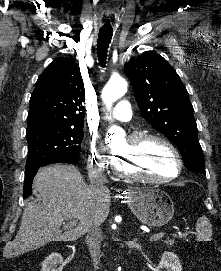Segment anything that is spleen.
Segmentation results:
<instances>
[{"label":"spleen","instance_id":"obj_1","mask_svg":"<svg viewBox=\"0 0 221 271\" xmlns=\"http://www.w3.org/2000/svg\"><path fill=\"white\" fill-rule=\"evenodd\" d=\"M197 241H211L212 225L206 215H202L196 221Z\"/></svg>","mask_w":221,"mask_h":271}]
</instances>
